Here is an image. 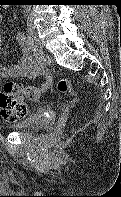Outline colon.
<instances>
[{
	"mask_svg": "<svg viewBox=\"0 0 121 197\" xmlns=\"http://www.w3.org/2000/svg\"><path fill=\"white\" fill-rule=\"evenodd\" d=\"M57 89L62 93H73V82L63 77L57 81ZM35 92L31 86L16 82H7L0 91V115L5 121H20L28 113L25 100H32Z\"/></svg>",
	"mask_w": 121,
	"mask_h": 197,
	"instance_id": "obj_1",
	"label": "colon"
}]
</instances>
